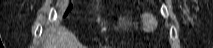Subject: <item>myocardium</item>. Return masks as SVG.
Masks as SVG:
<instances>
[{
    "instance_id": "f54148a6",
    "label": "myocardium",
    "mask_w": 213,
    "mask_h": 48,
    "mask_svg": "<svg viewBox=\"0 0 213 48\" xmlns=\"http://www.w3.org/2000/svg\"><path fill=\"white\" fill-rule=\"evenodd\" d=\"M143 22H144L145 28L148 30H152L156 26L155 19L153 18V16L150 13H146L143 16Z\"/></svg>"
}]
</instances>
